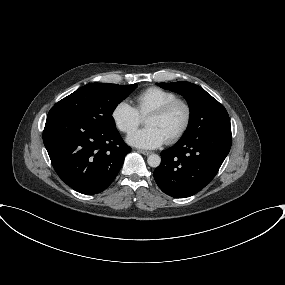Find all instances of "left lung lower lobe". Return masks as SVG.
Wrapping results in <instances>:
<instances>
[{"mask_svg": "<svg viewBox=\"0 0 285 285\" xmlns=\"http://www.w3.org/2000/svg\"><path fill=\"white\" fill-rule=\"evenodd\" d=\"M231 143V133L226 132L181 138L175 146L161 153V164L154 171L157 185L175 198L196 194L215 177Z\"/></svg>", "mask_w": 285, "mask_h": 285, "instance_id": "obj_1", "label": "left lung lower lobe"}]
</instances>
